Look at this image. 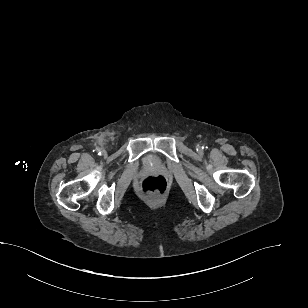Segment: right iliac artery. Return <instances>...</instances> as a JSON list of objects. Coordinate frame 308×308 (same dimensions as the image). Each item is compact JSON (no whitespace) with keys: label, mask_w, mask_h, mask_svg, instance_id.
<instances>
[{"label":"right iliac artery","mask_w":308,"mask_h":308,"mask_svg":"<svg viewBox=\"0 0 308 308\" xmlns=\"http://www.w3.org/2000/svg\"><path fill=\"white\" fill-rule=\"evenodd\" d=\"M97 152H98L99 155L102 154V151L100 149H97Z\"/></svg>","instance_id":"right-iliac-artery-1"}]
</instances>
